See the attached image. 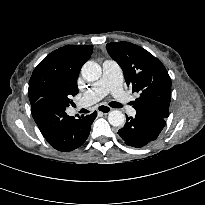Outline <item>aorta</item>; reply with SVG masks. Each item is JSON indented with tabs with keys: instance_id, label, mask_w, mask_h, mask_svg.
<instances>
[{
	"instance_id": "1",
	"label": "aorta",
	"mask_w": 205,
	"mask_h": 205,
	"mask_svg": "<svg viewBox=\"0 0 205 205\" xmlns=\"http://www.w3.org/2000/svg\"><path fill=\"white\" fill-rule=\"evenodd\" d=\"M81 74L86 81L93 82L101 77L102 68L94 61H87L81 69ZM108 121L114 127H122L125 124V115L119 110H113L108 114Z\"/></svg>"
}]
</instances>
